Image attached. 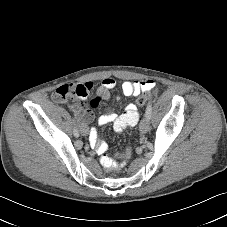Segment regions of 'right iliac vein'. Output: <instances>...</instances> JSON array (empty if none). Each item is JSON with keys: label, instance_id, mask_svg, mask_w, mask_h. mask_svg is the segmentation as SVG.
Masks as SVG:
<instances>
[{"label": "right iliac vein", "instance_id": "1", "mask_svg": "<svg viewBox=\"0 0 227 227\" xmlns=\"http://www.w3.org/2000/svg\"><path fill=\"white\" fill-rule=\"evenodd\" d=\"M81 133L83 134V135H87L88 134V131L87 130H81Z\"/></svg>", "mask_w": 227, "mask_h": 227}]
</instances>
